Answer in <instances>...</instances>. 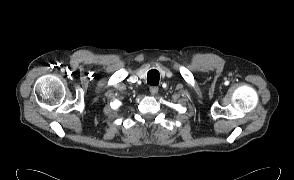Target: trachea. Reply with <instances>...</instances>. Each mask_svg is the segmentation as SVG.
I'll use <instances>...</instances> for the list:
<instances>
[{
  "label": "trachea",
  "mask_w": 294,
  "mask_h": 180,
  "mask_svg": "<svg viewBox=\"0 0 294 180\" xmlns=\"http://www.w3.org/2000/svg\"><path fill=\"white\" fill-rule=\"evenodd\" d=\"M147 83L149 85H158L159 84V72L155 69H152L147 74Z\"/></svg>",
  "instance_id": "obj_1"
}]
</instances>
